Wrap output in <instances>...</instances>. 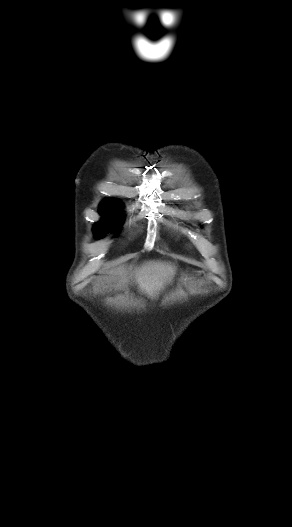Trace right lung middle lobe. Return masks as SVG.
Returning <instances> with one entry per match:
<instances>
[{"label": "right lung middle lobe", "instance_id": "1", "mask_svg": "<svg viewBox=\"0 0 292 527\" xmlns=\"http://www.w3.org/2000/svg\"><path fill=\"white\" fill-rule=\"evenodd\" d=\"M121 206L103 205L100 206V214L103 216V222L94 226V233L97 237H102L106 232L116 229L121 224L119 218Z\"/></svg>", "mask_w": 292, "mask_h": 527}]
</instances>
